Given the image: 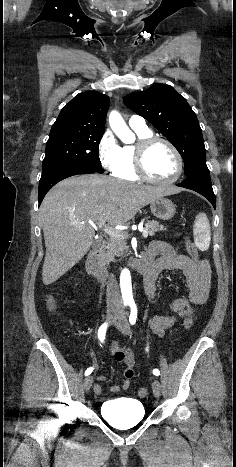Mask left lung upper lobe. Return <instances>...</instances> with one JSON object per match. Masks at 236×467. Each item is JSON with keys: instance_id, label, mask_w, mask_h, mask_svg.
Here are the masks:
<instances>
[{"instance_id": "5c2ea615", "label": "left lung upper lobe", "mask_w": 236, "mask_h": 467, "mask_svg": "<svg viewBox=\"0 0 236 467\" xmlns=\"http://www.w3.org/2000/svg\"><path fill=\"white\" fill-rule=\"evenodd\" d=\"M124 104L147 119L178 150L185 165V175L208 169L202 131L196 114L173 87L151 86L146 91L128 94Z\"/></svg>"}]
</instances>
